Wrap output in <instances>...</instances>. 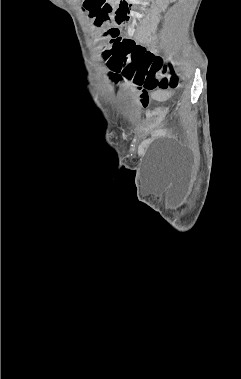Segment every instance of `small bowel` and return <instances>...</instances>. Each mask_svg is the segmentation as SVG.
I'll use <instances>...</instances> for the list:
<instances>
[{
  "instance_id": "obj_1",
  "label": "small bowel",
  "mask_w": 241,
  "mask_h": 379,
  "mask_svg": "<svg viewBox=\"0 0 241 379\" xmlns=\"http://www.w3.org/2000/svg\"><path fill=\"white\" fill-rule=\"evenodd\" d=\"M116 32L119 38L118 40H121L123 42H125L126 40H129V39H121L119 37V32L117 30ZM141 89H142V92L137 93V98H138L137 105L140 106L141 110L149 109V105H150V100L148 96L149 93H153V97L158 100H166L172 95V91L170 90L157 91L156 86H148L147 83H142L141 88H138V91H141Z\"/></svg>"
}]
</instances>
